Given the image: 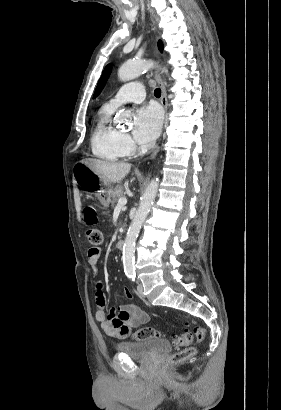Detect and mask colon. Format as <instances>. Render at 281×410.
<instances>
[{
	"mask_svg": "<svg viewBox=\"0 0 281 410\" xmlns=\"http://www.w3.org/2000/svg\"><path fill=\"white\" fill-rule=\"evenodd\" d=\"M84 219L86 224L94 225L97 223V214L93 207L88 206L84 211ZM87 238L93 246H98L102 243V232L94 227L87 230ZM185 331L175 339V345L179 349L176 353L172 354L169 358V362L172 365L178 364L190 358L194 354V348L191 347L194 338L198 341H202L205 338V329L199 325H196L193 329H190L189 323H184ZM162 333L152 327H143L133 332V339L136 341H142L152 338H160Z\"/></svg>",
	"mask_w": 281,
	"mask_h": 410,
	"instance_id": "1",
	"label": "colon"
}]
</instances>
